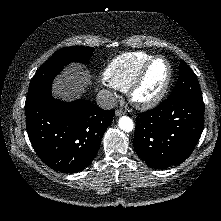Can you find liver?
<instances>
[{
    "mask_svg": "<svg viewBox=\"0 0 221 221\" xmlns=\"http://www.w3.org/2000/svg\"><path fill=\"white\" fill-rule=\"evenodd\" d=\"M92 75L80 65L72 64L53 84V92L64 100H72L73 97L85 92V87L90 84Z\"/></svg>",
    "mask_w": 221,
    "mask_h": 221,
    "instance_id": "obj_1",
    "label": "liver"
}]
</instances>
